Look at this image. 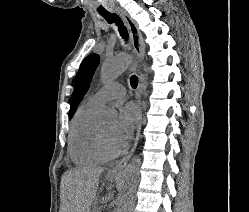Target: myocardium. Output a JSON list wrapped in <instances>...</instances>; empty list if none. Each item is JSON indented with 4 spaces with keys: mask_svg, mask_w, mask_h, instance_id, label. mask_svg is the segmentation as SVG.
Returning a JSON list of instances; mask_svg holds the SVG:
<instances>
[{
    "mask_svg": "<svg viewBox=\"0 0 249 212\" xmlns=\"http://www.w3.org/2000/svg\"><path fill=\"white\" fill-rule=\"evenodd\" d=\"M95 139H96L97 148L104 159L112 160L119 155L116 151H112L106 146L102 138L99 125H97L95 129Z\"/></svg>",
    "mask_w": 249,
    "mask_h": 212,
    "instance_id": "f54148a6",
    "label": "myocardium"
}]
</instances>
